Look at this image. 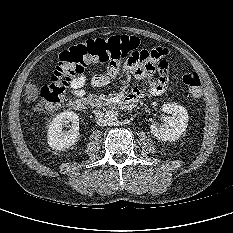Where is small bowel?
Segmentation results:
<instances>
[{"label":"small bowel","instance_id":"obj_1","mask_svg":"<svg viewBox=\"0 0 233 233\" xmlns=\"http://www.w3.org/2000/svg\"><path fill=\"white\" fill-rule=\"evenodd\" d=\"M157 50L159 52H157ZM142 47L134 50L120 58V60H111L106 65V71L96 74L91 78V84L94 87H102L112 82L122 72H127L137 78H149L153 75L154 69L161 74L158 79L150 82L149 93L151 95H160L167 89L168 79L166 73L170 70V63L164 60L168 56V50L164 48ZM88 81L85 74L74 78L70 85V92L75 97H83L85 94L84 87ZM131 95L138 98L142 96V90L135 87Z\"/></svg>","mask_w":233,"mask_h":233}]
</instances>
